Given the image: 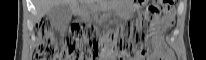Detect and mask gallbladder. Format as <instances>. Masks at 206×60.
<instances>
[{"label":"gallbladder","instance_id":"gallbladder-1","mask_svg":"<svg viewBox=\"0 0 206 60\" xmlns=\"http://www.w3.org/2000/svg\"><path fill=\"white\" fill-rule=\"evenodd\" d=\"M55 29L62 30L67 27L72 17L70 4L54 5L47 13Z\"/></svg>","mask_w":206,"mask_h":60}]
</instances>
